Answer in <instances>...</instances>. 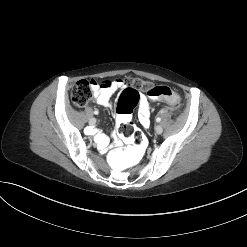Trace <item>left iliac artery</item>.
I'll return each instance as SVG.
<instances>
[{"mask_svg": "<svg viewBox=\"0 0 247 247\" xmlns=\"http://www.w3.org/2000/svg\"><path fill=\"white\" fill-rule=\"evenodd\" d=\"M161 121V118H156V122H160Z\"/></svg>", "mask_w": 247, "mask_h": 247, "instance_id": "1", "label": "left iliac artery"}]
</instances>
